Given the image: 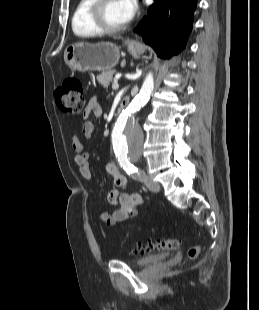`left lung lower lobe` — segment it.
Returning a JSON list of instances; mask_svg holds the SVG:
<instances>
[{
    "mask_svg": "<svg viewBox=\"0 0 259 310\" xmlns=\"http://www.w3.org/2000/svg\"><path fill=\"white\" fill-rule=\"evenodd\" d=\"M197 0H154L135 31L159 57L170 58L185 46Z\"/></svg>",
    "mask_w": 259,
    "mask_h": 310,
    "instance_id": "obj_1",
    "label": "left lung lower lobe"
}]
</instances>
